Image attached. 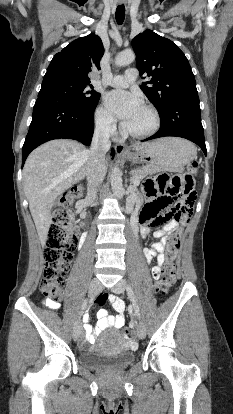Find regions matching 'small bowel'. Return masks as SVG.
I'll use <instances>...</instances> for the list:
<instances>
[{
    "label": "small bowel",
    "instance_id": "1",
    "mask_svg": "<svg viewBox=\"0 0 233 414\" xmlns=\"http://www.w3.org/2000/svg\"><path fill=\"white\" fill-rule=\"evenodd\" d=\"M150 202L145 206L142 211L138 214L139 201L136 203V212L135 217L137 216L140 224V234L143 238L149 237L151 234L155 238L161 239L158 243L152 248L144 250L145 258L150 261L153 258L157 259V266L152 268V275L155 279L159 278L160 267L165 263L166 258L163 254L164 245H165V236L174 230L178 229L179 222L171 215V213H166L158 216H153L150 213V205L155 200V197L146 193ZM109 302L113 309L116 311V315H110L108 311L102 306ZM96 303L101 307L97 313L98 321L96 326L93 328L87 322L89 320V315L84 316L85 325V340L88 343H93L97 334L106 328H121L125 323V303L124 301L116 295H107L101 294L97 297ZM44 304L50 309L57 310L60 307V304L57 301L46 299ZM126 309L129 312H132L135 309V306L132 303H129L126 306Z\"/></svg>",
    "mask_w": 233,
    "mask_h": 414
}]
</instances>
